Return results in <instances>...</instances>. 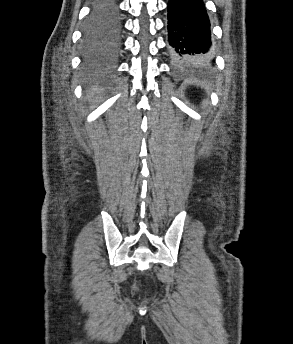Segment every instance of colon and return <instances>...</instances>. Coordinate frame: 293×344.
<instances>
[{
	"label": "colon",
	"instance_id": "1",
	"mask_svg": "<svg viewBox=\"0 0 293 344\" xmlns=\"http://www.w3.org/2000/svg\"><path fill=\"white\" fill-rule=\"evenodd\" d=\"M134 290H137V287H136V286H134Z\"/></svg>",
	"mask_w": 293,
	"mask_h": 344
}]
</instances>
